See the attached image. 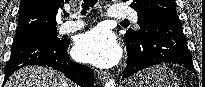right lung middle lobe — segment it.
Returning <instances> with one entry per match:
<instances>
[{
  "mask_svg": "<svg viewBox=\"0 0 205 87\" xmlns=\"http://www.w3.org/2000/svg\"><path fill=\"white\" fill-rule=\"evenodd\" d=\"M28 37H42L53 41H61L58 38L57 29H48V30H39V31H30L24 33H16L14 39L28 38Z\"/></svg>",
  "mask_w": 205,
  "mask_h": 87,
  "instance_id": "1",
  "label": "right lung middle lobe"
}]
</instances>
